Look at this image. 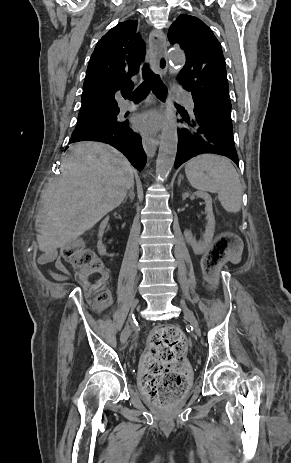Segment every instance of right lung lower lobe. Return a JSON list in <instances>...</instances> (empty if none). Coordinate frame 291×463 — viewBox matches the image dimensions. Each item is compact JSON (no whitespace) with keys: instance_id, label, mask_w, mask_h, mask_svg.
Here are the masks:
<instances>
[{"instance_id":"1","label":"right lung lower lobe","mask_w":291,"mask_h":463,"mask_svg":"<svg viewBox=\"0 0 291 463\" xmlns=\"http://www.w3.org/2000/svg\"><path fill=\"white\" fill-rule=\"evenodd\" d=\"M79 141H100L110 144L122 152L139 171L144 168L147 161L141 137L130 130L128 121L74 133L69 143Z\"/></svg>"}]
</instances>
